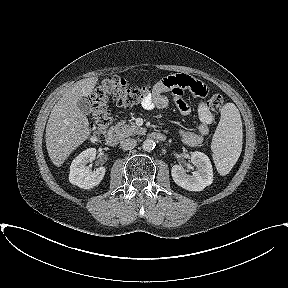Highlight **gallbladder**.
I'll return each mask as SVG.
<instances>
[{"label":"gallbladder","mask_w":288,"mask_h":288,"mask_svg":"<svg viewBox=\"0 0 288 288\" xmlns=\"http://www.w3.org/2000/svg\"><path fill=\"white\" fill-rule=\"evenodd\" d=\"M77 106L85 115H89L92 111L91 104L87 98H81L78 101Z\"/></svg>","instance_id":"1"}]
</instances>
